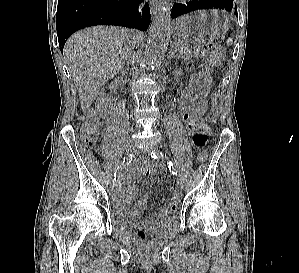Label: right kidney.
I'll list each match as a JSON object with an SVG mask.
<instances>
[{
	"mask_svg": "<svg viewBox=\"0 0 299 273\" xmlns=\"http://www.w3.org/2000/svg\"><path fill=\"white\" fill-rule=\"evenodd\" d=\"M111 104L109 98L101 92L99 97L96 100V107L99 111H104L108 108V106Z\"/></svg>",
	"mask_w": 299,
	"mask_h": 273,
	"instance_id": "ca27d5eb",
	"label": "right kidney"
}]
</instances>
